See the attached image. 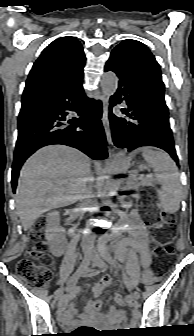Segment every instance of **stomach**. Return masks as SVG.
<instances>
[{"label": "stomach", "mask_w": 194, "mask_h": 336, "mask_svg": "<svg viewBox=\"0 0 194 336\" xmlns=\"http://www.w3.org/2000/svg\"><path fill=\"white\" fill-rule=\"evenodd\" d=\"M145 167L143 165H139V169L143 170Z\"/></svg>", "instance_id": "1"}]
</instances>
